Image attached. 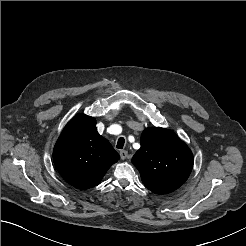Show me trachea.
<instances>
[{
	"label": "trachea",
	"instance_id": "trachea-1",
	"mask_svg": "<svg viewBox=\"0 0 246 246\" xmlns=\"http://www.w3.org/2000/svg\"><path fill=\"white\" fill-rule=\"evenodd\" d=\"M124 143H125L124 138H123V137H120V138L118 139L116 148H118V149H123Z\"/></svg>",
	"mask_w": 246,
	"mask_h": 246
}]
</instances>
